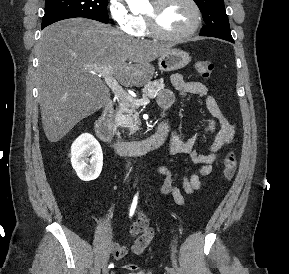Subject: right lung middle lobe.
I'll use <instances>...</instances> for the list:
<instances>
[{"label": "right lung middle lobe", "instance_id": "obj_1", "mask_svg": "<svg viewBox=\"0 0 289 274\" xmlns=\"http://www.w3.org/2000/svg\"><path fill=\"white\" fill-rule=\"evenodd\" d=\"M107 4L108 0H46L42 27L75 17L108 23Z\"/></svg>", "mask_w": 289, "mask_h": 274}]
</instances>
